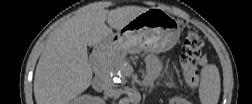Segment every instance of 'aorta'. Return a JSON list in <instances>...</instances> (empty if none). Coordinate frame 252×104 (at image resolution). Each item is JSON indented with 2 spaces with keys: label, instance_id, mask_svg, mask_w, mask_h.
I'll list each match as a JSON object with an SVG mask.
<instances>
[{
  "label": "aorta",
  "instance_id": "obj_1",
  "mask_svg": "<svg viewBox=\"0 0 252 104\" xmlns=\"http://www.w3.org/2000/svg\"><path fill=\"white\" fill-rule=\"evenodd\" d=\"M128 100L132 104H138L141 101V94L138 91H131L128 94Z\"/></svg>",
  "mask_w": 252,
  "mask_h": 104
}]
</instances>
